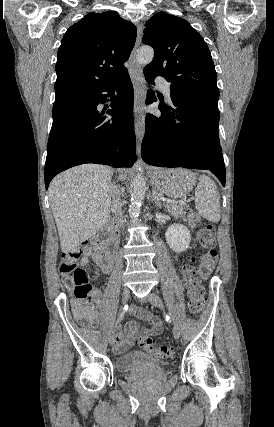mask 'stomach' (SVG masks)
<instances>
[{
    "mask_svg": "<svg viewBox=\"0 0 274 427\" xmlns=\"http://www.w3.org/2000/svg\"><path fill=\"white\" fill-rule=\"evenodd\" d=\"M149 176L154 188L169 198H183L191 192L196 182V174L183 168L162 170V168H149Z\"/></svg>",
    "mask_w": 274,
    "mask_h": 427,
    "instance_id": "0dacf381",
    "label": "stomach"
}]
</instances>
